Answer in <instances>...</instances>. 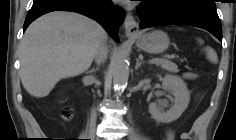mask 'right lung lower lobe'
Listing matches in <instances>:
<instances>
[{
    "label": "right lung lower lobe",
    "instance_id": "98d812e1",
    "mask_svg": "<svg viewBox=\"0 0 236 140\" xmlns=\"http://www.w3.org/2000/svg\"><path fill=\"white\" fill-rule=\"evenodd\" d=\"M52 11H73L86 15L99 22L119 42L118 28L124 21V13L110 0H34L23 30L36 18Z\"/></svg>",
    "mask_w": 236,
    "mask_h": 140
}]
</instances>
